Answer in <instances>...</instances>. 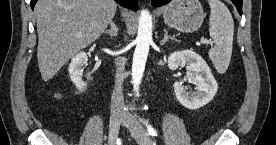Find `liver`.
Listing matches in <instances>:
<instances>
[{"instance_id":"obj_1","label":"liver","mask_w":276,"mask_h":145,"mask_svg":"<svg viewBox=\"0 0 276 145\" xmlns=\"http://www.w3.org/2000/svg\"><path fill=\"white\" fill-rule=\"evenodd\" d=\"M117 10L113 0H38L37 60L46 82L67 61L96 41Z\"/></svg>"}]
</instances>
